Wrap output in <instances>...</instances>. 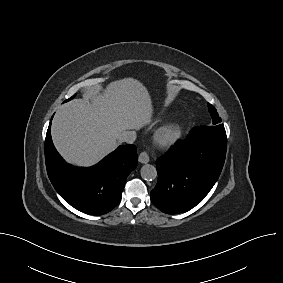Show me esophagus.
Wrapping results in <instances>:
<instances>
[{"label": "esophagus", "instance_id": "1", "mask_svg": "<svg viewBox=\"0 0 283 283\" xmlns=\"http://www.w3.org/2000/svg\"><path fill=\"white\" fill-rule=\"evenodd\" d=\"M138 160L140 163L142 164H146L149 162L150 158H149V155L147 154V152H141L138 156Z\"/></svg>", "mask_w": 283, "mask_h": 283}]
</instances>
